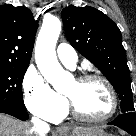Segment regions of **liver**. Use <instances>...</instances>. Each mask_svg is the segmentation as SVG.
I'll return each mask as SVG.
<instances>
[{"label":"liver","mask_w":136,"mask_h":136,"mask_svg":"<svg viewBox=\"0 0 136 136\" xmlns=\"http://www.w3.org/2000/svg\"><path fill=\"white\" fill-rule=\"evenodd\" d=\"M97 128L76 127L72 129L74 134L91 133ZM0 136H41L36 132L32 125L21 122L9 115L0 113Z\"/></svg>","instance_id":"6515ba94"}]
</instances>
